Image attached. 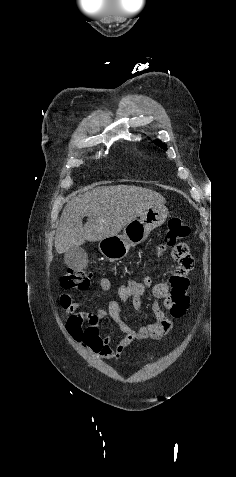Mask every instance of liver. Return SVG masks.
<instances>
[{"mask_svg":"<svg viewBox=\"0 0 236 477\" xmlns=\"http://www.w3.org/2000/svg\"><path fill=\"white\" fill-rule=\"evenodd\" d=\"M165 198L150 189L101 186L73 197L65 206L55 236L57 253H66L85 241L96 242L118 235L130 222ZM88 221L83 226L82 219Z\"/></svg>","mask_w":236,"mask_h":477,"instance_id":"obj_1","label":"liver"}]
</instances>
